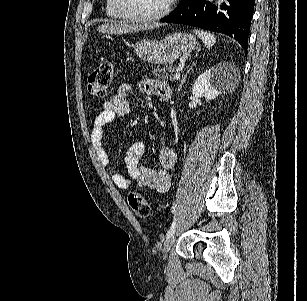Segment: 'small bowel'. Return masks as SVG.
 Wrapping results in <instances>:
<instances>
[{"mask_svg":"<svg viewBox=\"0 0 307 301\" xmlns=\"http://www.w3.org/2000/svg\"><path fill=\"white\" fill-rule=\"evenodd\" d=\"M126 89L127 86L124 85L116 95L103 104L101 112L96 116L93 123L90 141L103 166H107L109 163L108 155L102 143L106 127L116 118L127 115L130 110V101L125 95ZM139 89L145 94L163 98L167 94L170 95V90L166 84L150 79L140 81ZM144 151L145 144L143 141L134 142L127 150L125 158L128 175L115 174L112 177L113 182L120 189H127L132 183H136L140 187L166 192L170 187L169 170L176 165V153L170 147L161 148L158 156L160 169L155 170L140 165L139 160Z\"/></svg>","mask_w":307,"mask_h":301,"instance_id":"1","label":"small bowel"}]
</instances>
